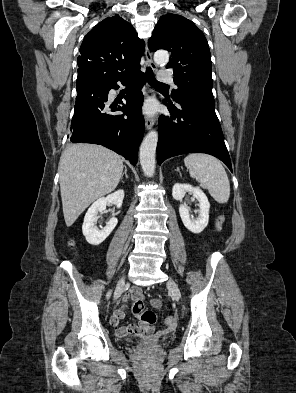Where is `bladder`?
Returning a JSON list of instances; mask_svg holds the SVG:
<instances>
[{
	"label": "bladder",
	"instance_id": "obj_1",
	"mask_svg": "<svg viewBox=\"0 0 296 393\" xmlns=\"http://www.w3.org/2000/svg\"><path fill=\"white\" fill-rule=\"evenodd\" d=\"M159 340H160V341H163V337H159Z\"/></svg>",
	"mask_w": 296,
	"mask_h": 393
}]
</instances>
